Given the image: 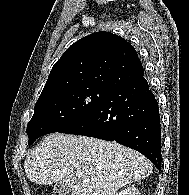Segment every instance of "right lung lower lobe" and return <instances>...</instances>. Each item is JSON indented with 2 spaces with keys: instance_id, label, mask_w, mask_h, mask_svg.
I'll use <instances>...</instances> for the list:
<instances>
[{
  "instance_id": "obj_1",
  "label": "right lung lower lobe",
  "mask_w": 189,
  "mask_h": 195,
  "mask_svg": "<svg viewBox=\"0 0 189 195\" xmlns=\"http://www.w3.org/2000/svg\"><path fill=\"white\" fill-rule=\"evenodd\" d=\"M60 133L115 141L142 153L161 170L159 107L144 75L110 91Z\"/></svg>"
}]
</instances>
